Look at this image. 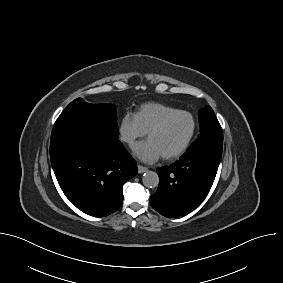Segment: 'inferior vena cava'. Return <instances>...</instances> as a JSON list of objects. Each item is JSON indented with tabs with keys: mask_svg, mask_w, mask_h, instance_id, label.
Listing matches in <instances>:
<instances>
[{
	"mask_svg": "<svg viewBox=\"0 0 283 283\" xmlns=\"http://www.w3.org/2000/svg\"><path fill=\"white\" fill-rule=\"evenodd\" d=\"M122 140L125 141V142H130L131 138L129 136L123 135Z\"/></svg>",
	"mask_w": 283,
	"mask_h": 283,
	"instance_id": "602c4592",
	"label": "inferior vena cava"
}]
</instances>
